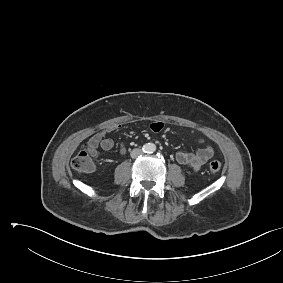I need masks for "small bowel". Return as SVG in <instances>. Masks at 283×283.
<instances>
[{
	"instance_id": "c3829d8e",
	"label": "small bowel",
	"mask_w": 283,
	"mask_h": 283,
	"mask_svg": "<svg viewBox=\"0 0 283 283\" xmlns=\"http://www.w3.org/2000/svg\"><path fill=\"white\" fill-rule=\"evenodd\" d=\"M162 128L163 124L161 122H154L151 124V129L154 132H158ZM118 129V126H110L96 133L89 139L87 143L89 144L93 155L98 154L99 149L108 151L114 147V140L106 135L110 132L117 131ZM201 143L203 144L204 142L201 141ZM119 150L121 154L126 152V146L124 143L120 144ZM213 154L214 151L211 145L205 144L202 148L195 152H178L175 158L179 164L184 165L193 171H199L206 164V162L212 158Z\"/></svg>"
}]
</instances>
